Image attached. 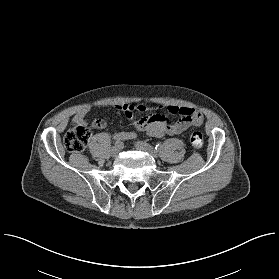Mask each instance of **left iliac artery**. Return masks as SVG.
Segmentation results:
<instances>
[{
    "instance_id": "left-iliac-artery-1",
    "label": "left iliac artery",
    "mask_w": 279,
    "mask_h": 279,
    "mask_svg": "<svg viewBox=\"0 0 279 279\" xmlns=\"http://www.w3.org/2000/svg\"><path fill=\"white\" fill-rule=\"evenodd\" d=\"M163 145L161 144V143H158V144H156V146H155V149L157 150V151H161L162 149H163Z\"/></svg>"
}]
</instances>
